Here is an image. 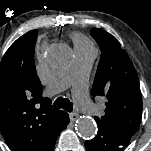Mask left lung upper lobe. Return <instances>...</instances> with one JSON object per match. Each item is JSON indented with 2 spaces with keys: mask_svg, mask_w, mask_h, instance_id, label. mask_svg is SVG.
<instances>
[{
  "mask_svg": "<svg viewBox=\"0 0 151 151\" xmlns=\"http://www.w3.org/2000/svg\"><path fill=\"white\" fill-rule=\"evenodd\" d=\"M101 49L92 95L105 100V113L94 119L98 126L129 136L139 128L142 98L137 72L118 40L101 28L91 29Z\"/></svg>",
  "mask_w": 151,
  "mask_h": 151,
  "instance_id": "5c2ea615",
  "label": "left lung upper lobe"
}]
</instances>
